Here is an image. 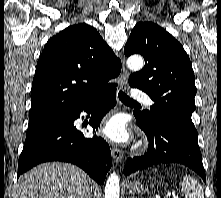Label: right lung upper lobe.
Returning <instances> with one entry per match:
<instances>
[{
    "label": "right lung upper lobe",
    "instance_id": "cb5924a9",
    "mask_svg": "<svg viewBox=\"0 0 221 198\" xmlns=\"http://www.w3.org/2000/svg\"><path fill=\"white\" fill-rule=\"evenodd\" d=\"M121 62L85 23L64 29L45 45L35 71L29 123L72 114L116 84Z\"/></svg>",
    "mask_w": 221,
    "mask_h": 198
}]
</instances>
